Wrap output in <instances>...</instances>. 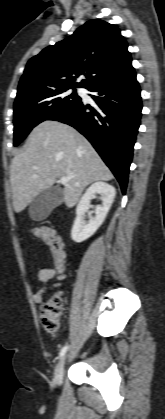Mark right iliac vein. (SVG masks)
<instances>
[{"mask_svg": "<svg viewBox=\"0 0 165 419\" xmlns=\"http://www.w3.org/2000/svg\"><path fill=\"white\" fill-rule=\"evenodd\" d=\"M65 361H66V356H64L57 365L56 372H55V379H56L57 384H60L62 381Z\"/></svg>", "mask_w": 165, "mask_h": 419, "instance_id": "right-iliac-vein-1", "label": "right iliac vein"}]
</instances>
